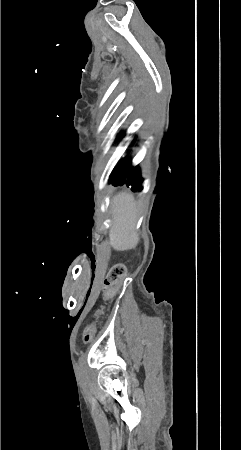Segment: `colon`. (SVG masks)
I'll return each instance as SVG.
<instances>
[{
  "label": "colon",
  "instance_id": "5ec220e1",
  "mask_svg": "<svg viewBox=\"0 0 241 450\" xmlns=\"http://www.w3.org/2000/svg\"><path fill=\"white\" fill-rule=\"evenodd\" d=\"M126 272V266L123 263H117L106 273L104 278V293L106 296L113 294L117 290L119 282L125 277ZM101 304L103 306H108L110 304V299L108 297H103L101 299ZM96 314L99 313H95L94 316ZM94 333V324L88 325L83 335V345L85 347H88L90 345V342L93 340Z\"/></svg>",
  "mask_w": 241,
  "mask_h": 450
}]
</instances>
